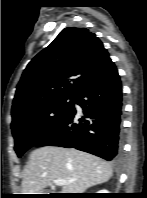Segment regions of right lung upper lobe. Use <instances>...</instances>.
<instances>
[{
	"label": "right lung upper lobe",
	"mask_w": 147,
	"mask_h": 198,
	"mask_svg": "<svg viewBox=\"0 0 147 198\" xmlns=\"http://www.w3.org/2000/svg\"><path fill=\"white\" fill-rule=\"evenodd\" d=\"M96 35L68 27L24 70L12 106V122L31 110L59 99H74L110 62Z\"/></svg>",
	"instance_id": "cb5924a9"
}]
</instances>
